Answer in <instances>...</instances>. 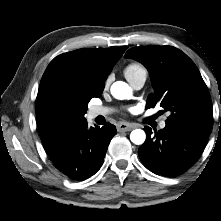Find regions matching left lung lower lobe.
I'll return each instance as SVG.
<instances>
[{"mask_svg": "<svg viewBox=\"0 0 221 221\" xmlns=\"http://www.w3.org/2000/svg\"><path fill=\"white\" fill-rule=\"evenodd\" d=\"M144 130L147 139L138 154L143 165L157 175L176 176L186 171L206 145L205 138L182 127L166 125L164 129L152 132L146 126Z\"/></svg>", "mask_w": 221, "mask_h": 221, "instance_id": "left-lung-lower-lobe-1", "label": "left lung lower lobe"}]
</instances>
